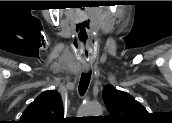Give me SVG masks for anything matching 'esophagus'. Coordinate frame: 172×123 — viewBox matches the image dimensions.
<instances>
[{
    "label": "esophagus",
    "mask_w": 172,
    "mask_h": 123,
    "mask_svg": "<svg viewBox=\"0 0 172 123\" xmlns=\"http://www.w3.org/2000/svg\"><path fill=\"white\" fill-rule=\"evenodd\" d=\"M89 69H90V66H89V65H85V66H84V70H85L86 72H88Z\"/></svg>",
    "instance_id": "1"
}]
</instances>
